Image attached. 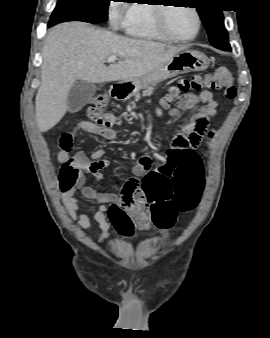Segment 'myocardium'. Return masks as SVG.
Here are the masks:
<instances>
[{
  "mask_svg": "<svg viewBox=\"0 0 270 338\" xmlns=\"http://www.w3.org/2000/svg\"><path fill=\"white\" fill-rule=\"evenodd\" d=\"M166 6L168 5H154L155 26L157 30L168 40H171L174 42L186 43V42H190L194 40L198 36L200 32V28H201V18H200L198 11L193 7H187L194 13L196 17V30H195V33L188 38H179V37L174 36L171 33V31L169 30L167 26V20H166L167 10L174 6H171V7L170 6L166 7Z\"/></svg>",
  "mask_w": 270,
  "mask_h": 338,
  "instance_id": "obj_1",
  "label": "myocardium"
}]
</instances>
